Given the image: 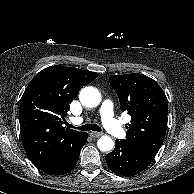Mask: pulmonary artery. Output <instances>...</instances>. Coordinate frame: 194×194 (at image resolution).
Returning <instances> with one entry per match:
<instances>
[{"instance_id": "1", "label": "pulmonary artery", "mask_w": 194, "mask_h": 194, "mask_svg": "<svg viewBox=\"0 0 194 194\" xmlns=\"http://www.w3.org/2000/svg\"><path fill=\"white\" fill-rule=\"evenodd\" d=\"M100 117L105 129L114 137L122 138L125 136V130L121 124L114 118V105L110 100H104L100 107ZM76 123L82 122V118H76Z\"/></svg>"}]
</instances>
